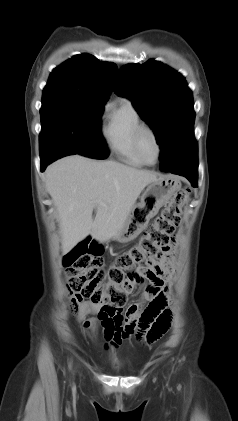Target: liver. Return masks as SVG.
Wrapping results in <instances>:
<instances>
[{
	"mask_svg": "<svg viewBox=\"0 0 238 421\" xmlns=\"http://www.w3.org/2000/svg\"><path fill=\"white\" fill-rule=\"evenodd\" d=\"M45 177L57 208L64 253L90 234L98 242L113 238L144 188L162 178L156 172L80 155L54 162Z\"/></svg>",
	"mask_w": 238,
	"mask_h": 421,
	"instance_id": "liver-1",
	"label": "liver"
}]
</instances>
